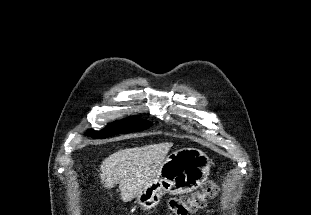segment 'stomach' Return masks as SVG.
Here are the masks:
<instances>
[{"label":"stomach","instance_id":"obj_1","mask_svg":"<svg viewBox=\"0 0 311 215\" xmlns=\"http://www.w3.org/2000/svg\"><path fill=\"white\" fill-rule=\"evenodd\" d=\"M211 162L197 148L179 149L165 158L156 177L144 188L136 203L145 210L155 207L164 193H189L208 178Z\"/></svg>","mask_w":311,"mask_h":215}]
</instances>
